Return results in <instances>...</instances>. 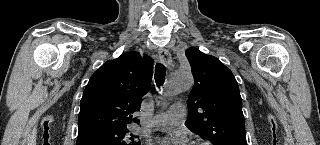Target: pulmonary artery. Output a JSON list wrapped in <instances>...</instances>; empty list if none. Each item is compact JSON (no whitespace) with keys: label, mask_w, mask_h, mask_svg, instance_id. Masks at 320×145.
Here are the masks:
<instances>
[{"label":"pulmonary artery","mask_w":320,"mask_h":145,"mask_svg":"<svg viewBox=\"0 0 320 145\" xmlns=\"http://www.w3.org/2000/svg\"><path fill=\"white\" fill-rule=\"evenodd\" d=\"M185 112L186 107L184 104H173L168 111L154 116L150 120L149 125L151 127H169L177 125L183 120Z\"/></svg>","instance_id":"obj_1"}]
</instances>
